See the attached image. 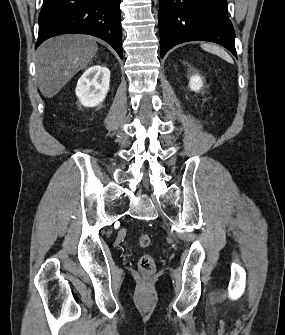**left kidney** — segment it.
Returning <instances> with one entry per match:
<instances>
[{"label": "left kidney", "mask_w": 285, "mask_h": 335, "mask_svg": "<svg viewBox=\"0 0 285 335\" xmlns=\"http://www.w3.org/2000/svg\"><path fill=\"white\" fill-rule=\"evenodd\" d=\"M203 80L198 76V74H195V76H191L189 86L193 92H199V90H202L203 88Z\"/></svg>", "instance_id": "1"}]
</instances>
